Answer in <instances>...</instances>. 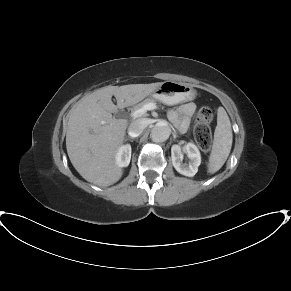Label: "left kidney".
Segmentation results:
<instances>
[{
	"mask_svg": "<svg viewBox=\"0 0 291 291\" xmlns=\"http://www.w3.org/2000/svg\"><path fill=\"white\" fill-rule=\"evenodd\" d=\"M186 153L189 163H183V154ZM172 164L177 172L184 176L193 177L201 163V155L197 146L187 143L184 146L173 145L171 147Z\"/></svg>",
	"mask_w": 291,
	"mask_h": 291,
	"instance_id": "obj_1",
	"label": "left kidney"
}]
</instances>
